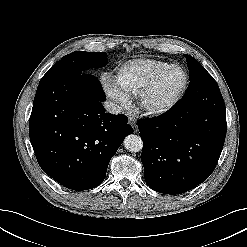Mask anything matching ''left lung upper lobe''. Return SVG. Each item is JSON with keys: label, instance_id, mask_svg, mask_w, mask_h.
Returning a JSON list of instances; mask_svg holds the SVG:
<instances>
[{"label": "left lung upper lobe", "instance_id": "obj_1", "mask_svg": "<svg viewBox=\"0 0 247 247\" xmlns=\"http://www.w3.org/2000/svg\"><path fill=\"white\" fill-rule=\"evenodd\" d=\"M185 56H186L187 66L189 69L190 82L201 79L204 76L210 75L195 58H193L190 55H185ZM184 97H194V92L192 91L190 83L184 94Z\"/></svg>", "mask_w": 247, "mask_h": 247}]
</instances>
